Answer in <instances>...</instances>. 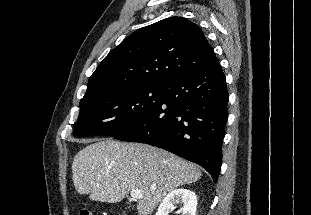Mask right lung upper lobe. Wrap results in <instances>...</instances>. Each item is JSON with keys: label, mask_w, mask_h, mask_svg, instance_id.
Wrapping results in <instances>:
<instances>
[{"label": "right lung upper lobe", "mask_w": 311, "mask_h": 215, "mask_svg": "<svg viewBox=\"0 0 311 215\" xmlns=\"http://www.w3.org/2000/svg\"><path fill=\"white\" fill-rule=\"evenodd\" d=\"M217 61L202 30L184 17H170L135 31L110 51L92 74L83 98L168 81Z\"/></svg>", "instance_id": "right-lung-upper-lobe-1"}]
</instances>
